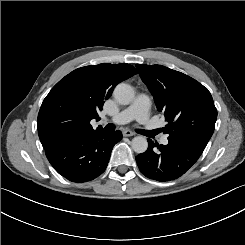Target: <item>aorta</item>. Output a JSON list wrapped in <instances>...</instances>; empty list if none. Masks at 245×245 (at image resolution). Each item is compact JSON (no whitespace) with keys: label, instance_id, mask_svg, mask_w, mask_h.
Wrapping results in <instances>:
<instances>
[{"label":"aorta","instance_id":"aorta-1","mask_svg":"<svg viewBox=\"0 0 245 245\" xmlns=\"http://www.w3.org/2000/svg\"><path fill=\"white\" fill-rule=\"evenodd\" d=\"M113 95L119 104L127 105L132 102L134 91L130 85L121 83L115 87ZM131 147L138 154L144 153L148 148V142L145 137L136 136L131 141Z\"/></svg>","mask_w":245,"mask_h":245}]
</instances>
